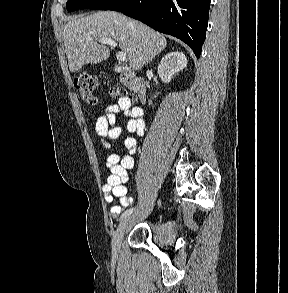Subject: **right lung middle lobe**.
Returning <instances> with one entry per match:
<instances>
[{
  "label": "right lung middle lobe",
  "instance_id": "1",
  "mask_svg": "<svg viewBox=\"0 0 288 293\" xmlns=\"http://www.w3.org/2000/svg\"><path fill=\"white\" fill-rule=\"evenodd\" d=\"M121 1L122 0H68L66 8L69 12L85 8L108 10Z\"/></svg>",
  "mask_w": 288,
  "mask_h": 293
}]
</instances>
